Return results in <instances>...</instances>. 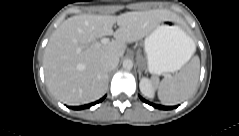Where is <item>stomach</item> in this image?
Masks as SVG:
<instances>
[{
    "instance_id": "obj_1",
    "label": "stomach",
    "mask_w": 239,
    "mask_h": 136,
    "mask_svg": "<svg viewBox=\"0 0 239 136\" xmlns=\"http://www.w3.org/2000/svg\"><path fill=\"white\" fill-rule=\"evenodd\" d=\"M191 44L180 21L161 22L144 41L148 70L154 75L178 71L189 60Z\"/></svg>"
}]
</instances>
